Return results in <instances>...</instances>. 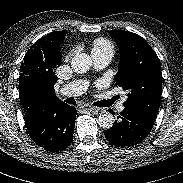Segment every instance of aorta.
<instances>
[{
    "instance_id": "1",
    "label": "aorta",
    "mask_w": 183,
    "mask_h": 183,
    "mask_svg": "<svg viewBox=\"0 0 183 183\" xmlns=\"http://www.w3.org/2000/svg\"><path fill=\"white\" fill-rule=\"evenodd\" d=\"M92 66V59L86 53L76 54L71 60V67L76 73H86ZM98 124L103 129H109L114 124V117L111 113L105 112L99 115Z\"/></svg>"
}]
</instances>
